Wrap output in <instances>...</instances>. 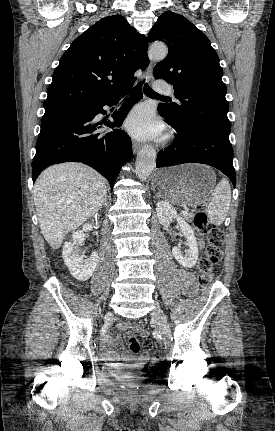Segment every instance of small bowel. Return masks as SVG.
<instances>
[{"instance_id": "small-bowel-1", "label": "small bowel", "mask_w": 275, "mask_h": 431, "mask_svg": "<svg viewBox=\"0 0 275 431\" xmlns=\"http://www.w3.org/2000/svg\"><path fill=\"white\" fill-rule=\"evenodd\" d=\"M199 245L203 246V241L200 240ZM180 285L185 294L194 295L196 292V286L194 283L193 273L185 268L179 269ZM120 330H135L139 332L142 336L146 337L147 333L138 325L131 323H121L118 327ZM122 344L121 338L118 335H106L101 340V352L103 357L111 362L128 361L131 360V356L124 353L120 356L116 351L112 350Z\"/></svg>"}]
</instances>
